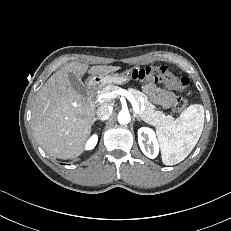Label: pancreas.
<instances>
[{
    "mask_svg": "<svg viewBox=\"0 0 231 231\" xmlns=\"http://www.w3.org/2000/svg\"><path fill=\"white\" fill-rule=\"evenodd\" d=\"M120 89L122 88L115 85H107L101 89L99 95L109 93L112 91H117ZM128 92H130L135 97L139 106H144V110H140L138 115L142 120H144L148 124L153 126H163L173 124L175 122L173 116L165 115L162 111H156L155 106L148 101V98L144 93L132 88H129Z\"/></svg>",
    "mask_w": 231,
    "mask_h": 231,
    "instance_id": "1",
    "label": "pancreas"
}]
</instances>
